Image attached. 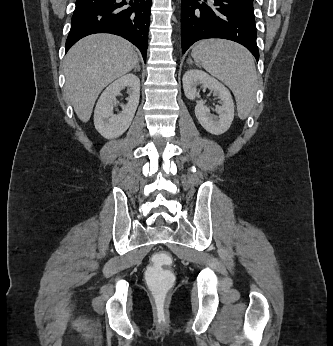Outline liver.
<instances>
[{
    "label": "liver",
    "instance_id": "6515ba94",
    "mask_svg": "<svg viewBox=\"0 0 333 346\" xmlns=\"http://www.w3.org/2000/svg\"><path fill=\"white\" fill-rule=\"evenodd\" d=\"M138 62L133 45L110 34L89 35L68 51L64 69L66 95L82 122L89 121L101 91Z\"/></svg>",
    "mask_w": 333,
    "mask_h": 346
}]
</instances>
